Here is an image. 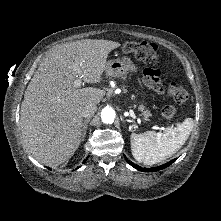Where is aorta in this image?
Masks as SVG:
<instances>
[{
	"mask_svg": "<svg viewBox=\"0 0 221 221\" xmlns=\"http://www.w3.org/2000/svg\"><path fill=\"white\" fill-rule=\"evenodd\" d=\"M101 119L106 124L113 123L115 119V111L111 107H105L101 112Z\"/></svg>",
	"mask_w": 221,
	"mask_h": 221,
	"instance_id": "aorta-1",
	"label": "aorta"
}]
</instances>
